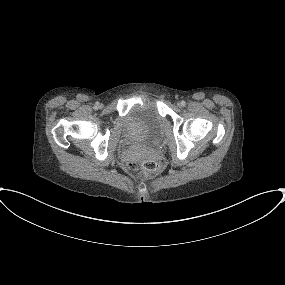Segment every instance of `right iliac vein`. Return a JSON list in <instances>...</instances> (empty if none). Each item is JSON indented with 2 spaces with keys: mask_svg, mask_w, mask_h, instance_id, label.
<instances>
[{
  "mask_svg": "<svg viewBox=\"0 0 285 285\" xmlns=\"http://www.w3.org/2000/svg\"><path fill=\"white\" fill-rule=\"evenodd\" d=\"M100 107H102V104L98 103L97 108H100Z\"/></svg>",
  "mask_w": 285,
  "mask_h": 285,
  "instance_id": "1",
  "label": "right iliac vein"
}]
</instances>
